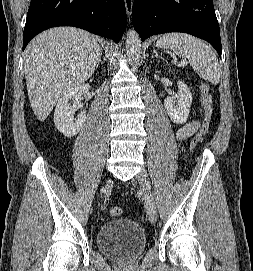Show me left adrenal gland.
<instances>
[{
    "label": "left adrenal gland",
    "instance_id": "a2214340",
    "mask_svg": "<svg viewBox=\"0 0 253 271\" xmlns=\"http://www.w3.org/2000/svg\"><path fill=\"white\" fill-rule=\"evenodd\" d=\"M153 53H154V55L152 56V58H154V57H159V58H161V57L158 55V53L156 52V50H153Z\"/></svg>",
    "mask_w": 253,
    "mask_h": 271
}]
</instances>
